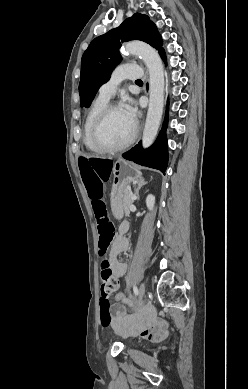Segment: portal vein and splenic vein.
Wrapping results in <instances>:
<instances>
[{
  "mask_svg": "<svg viewBox=\"0 0 248 389\" xmlns=\"http://www.w3.org/2000/svg\"><path fill=\"white\" fill-rule=\"evenodd\" d=\"M135 197L131 196V199L134 200Z\"/></svg>",
  "mask_w": 248,
  "mask_h": 389,
  "instance_id": "18ae733b",
  "label": "portal vein and splenic vein"
}]
</instances>
